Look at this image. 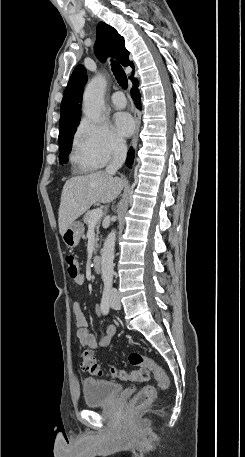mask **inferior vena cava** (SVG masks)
Returning <instances> with one entry per match:
<instances>
[{
  "label": "inferior vena cava",
  "mask_w": 245,
  "mask_h": 457,
  "mask_svg": "<svg viewBox=\"0 0 245 457\" xmlns=\"http://www.w3.org/2000/svg\"><path fill=\"white\" fill-rule=\"evenodd\" d=\"M126 154L127 144L125 140H123V138H116L114 142L113 158L110 164L106 166V172H109V174H115L118 168H121L123 162H125ZM112 291H116V289H112Z\"/></svg>",
  "instance_id": "1"
}]
</instances>
